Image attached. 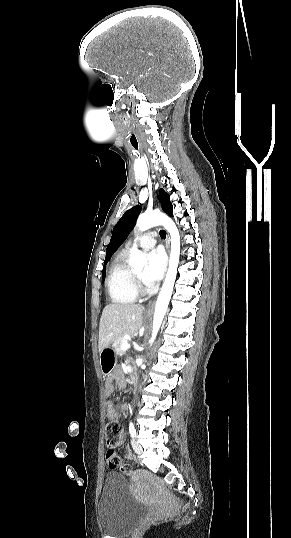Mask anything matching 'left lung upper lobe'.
Returning <instances> with one entry per match:
<instances>
[{"label":"left lung upper lobe","instance_id":"1","mask_svg":"<svg viewBox=\"0 0 291 538\" xmlns=\"http://www.w3.org/2000/svg\"><path fill=\"white\" fill-rule=\"evenodd\" d=\"M162 209L168 215H172L173 206L170 202L169 194L163 189L159 190ZM141 212V206L137 205L126 211L115 225L110 243L108 245V255H110L125 241L134 223Z\"/></svg>","mask_w":291,"mask_h":538}]
</instances>
